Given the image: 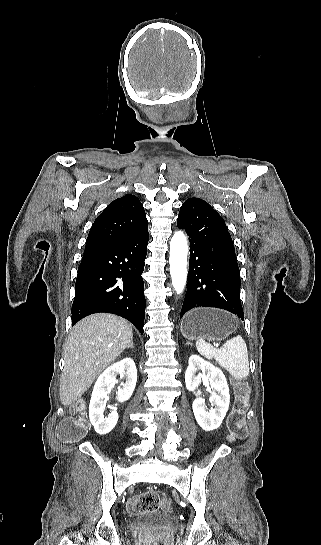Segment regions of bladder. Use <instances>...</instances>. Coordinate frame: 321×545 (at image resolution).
Returning <instances> with one entry per match:
<instances>
[{
    "label": "bladder",
    "instance_id": "1",
    "mask_svg": "<svg viewBox=\"0 0 321 545\" xmlns=\"http://www.w3.org/2000/svg\"><path fill=\"white\" fill-rule=\"evenodd\" d=\"M171 519L162 513L142 512L131 522V530L136 533L154 532L171 526Z\"/></svg>",
    "mask_w": 321,
    "mask_h": 545
}]
</instances>
